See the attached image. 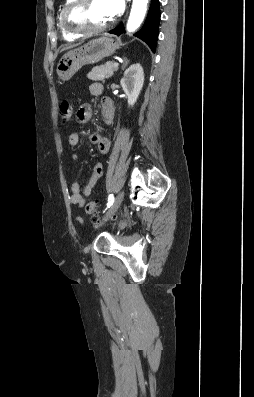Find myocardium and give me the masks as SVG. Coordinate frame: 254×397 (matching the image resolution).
<instances>
[{
  "mask_svg": "<svg viewBox=\"0 0 254 397\" xmlns=\"http://www.w3.org/2000/svg\"><path fill=\"white\" fill-rule=\"evenodd\" d=\"M90 0H70L62 13V25L69 33L76 35H87L102 32L112 25V21L98 26L91 27L75 19V14L83 9Z\"/></svg>",
  "mask_w": 254,
  "mask_h": 397,
  "instance_id": "myocardium-1",
  "label": "myocardium"
}]
</instances>
